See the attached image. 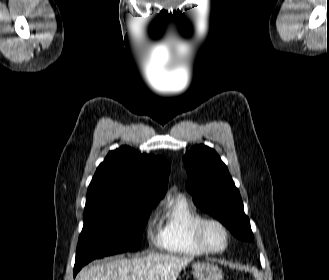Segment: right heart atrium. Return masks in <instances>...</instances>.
<instances>
[{
    "label": "right heart atrium",
    "instance_id": "obj_1",
    "mask_svg": "<svg viewBox=\"0 0 329 280\" xmlns=\"http://www.w3.org/2000/svg\"><path fill=\"white\" fill-rule=\"evenodd\" d=\"M158 210V206H155L149 213L146 221H145V233L148 241L150 243H158L159 241V236H160V231L155 232L154 230V216Z\"/></svg>",
    "mask_w": 329,
    "mask_h": 280
}]
</instances>
